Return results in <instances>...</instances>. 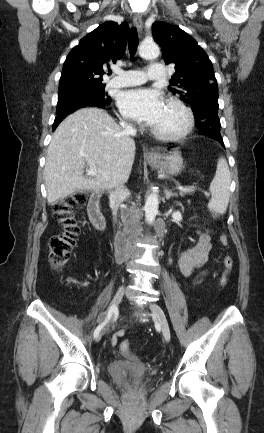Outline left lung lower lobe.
<instances>
[{
  "label": "left lung lower lobe",
  "instance_id": "1",
  "mask_svg": "<svg viewBox=\"0 0 264 433\" xmlns=\"http://www.w3.org/2000/svg\"><path fill=\"white\" fill-rule=\"evenodd\" d=\"M194 115L199 134L213 138L224 146L223 139L221 135L218 134L221 127L218 117V109L202 108L194 112Z\"/></svg>",
  "mask_w": 264,
  "mask_h": 433
}]
</instances>
